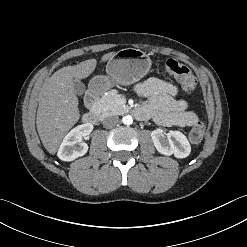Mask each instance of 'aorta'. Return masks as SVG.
<instances>
[{
	"instance_id": "aorta-1",
	"label": "aorta",
	"mask_w": 247,
	"mask_h": 247,
	"mask_svg": "<svg viewBox=\"0 0 247 247\" xmlns=\"http://www.w3.org/2000/svg\"><path fill=\"white\" fill-rule=\"evenodd\" d=\"M122 122L125 124V125H131L133 123V118L132 116L130 115H126L122 118Z\"/></svg>"
}]
</instances>
